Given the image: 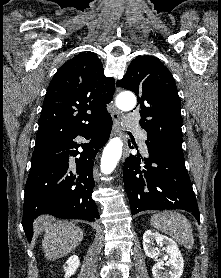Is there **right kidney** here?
<instances>
[{"label": "right kidney", "instance_id": "obj_1", "mask_svg": "<svg viewBox=\"0 0 221 278\" xmlns=\"http://www.w3.org/2000/svg\"><path fill=\"white\" fill-rule=\"evenodd\" d=\"M80 264L79 258L77 255H72L65 263L64 270H65V278H69L73 275L78 266Z\"/></svg>", "mask_w": 221, "mask_h": 278}]
</instances>
